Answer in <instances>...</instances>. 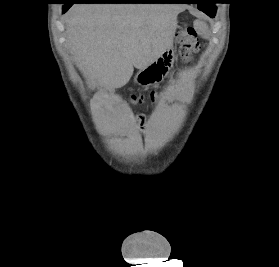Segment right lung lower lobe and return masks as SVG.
I'll use <instances>...</instances> for the list:
<instances>
[{
    "mask_svg": "<svg viewBox=\"0 0 279 267\" xmlns=\"http://www.w3.org/2000/svg\"><path fill=\"white\" fill-rule=\"evenodd\" d=\"M163 0H135L126 2L122 0H69L63 6V12H66L74 3H164Z\"/></svg>",
    "mask_w": 279,
    "mask_h": 267,
    "instance_id": "1",
    "label": "right lung lower lobe"
}]
</instances>
